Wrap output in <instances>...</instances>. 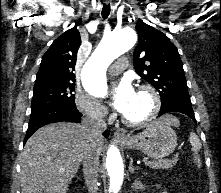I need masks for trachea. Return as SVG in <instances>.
<instances>
[{"instance_id": "obj_1", "label": "trachea", "mask_w": 221, "mask_h": 193, "mask_svg": "<svg viewBox=\"0 0 221 193\" xmlns=\"http://www.w3.org/2000/svg\"><path fill=\"white\" fill-rule=\"evenodd\" d=\"M110 4H104L102 8V17L106 19L110 14Z\"/></svg>"}]
</instances>
